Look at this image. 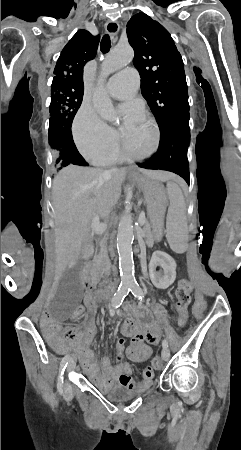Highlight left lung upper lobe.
<instances>
[{
  "label": "left lung upper lobe",
  "instance_id": "obj_1",
  "mask_svg": "<svg viewBox=\"0 0 241 450\" xmlns=\"http://www.w3.org/2000/svg\"><path fill=\"white\" fill-rule=\"evenodd\" d=\"M141 92L159 126L180 110L189 109L183 61L169 32L144 13L127 24Z\"/></svg>",
  "mask_w": 241,
  "mask_h": 450
}]
</instances>
